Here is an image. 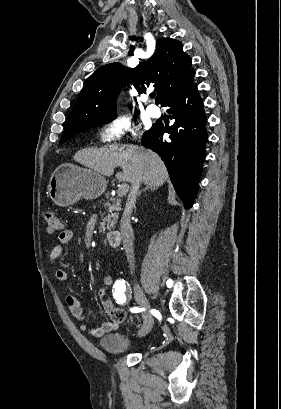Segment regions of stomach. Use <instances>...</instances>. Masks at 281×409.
<instances>
[{
  "mask_svg": "<svg viewBox=\"0 0 281 409\" xmlns=\"http://www.w3.org/2000/svg\"><path fill=\"white\" fill-rule=\"evenodd\" d=\"M107 180L91 168L65 162L54 170L48 184V194L58 207L74 205L79 198H97L104 192Z\"/></svg>",
  "mask_w": 281,
  "mask_h": 409,
  "instance_id": "obj_1",
  "label": "stomach"
}]
</instances>
